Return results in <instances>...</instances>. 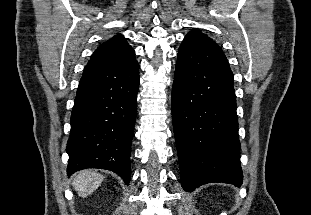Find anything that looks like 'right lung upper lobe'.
Returning a JSON list of instances; mask_svg holds the SVG:
<instances>
[{
  "instance_id": "right-lung-upper-lobe-1",
  "label": "right lung upper lobe",
  "mask_w": 311,
  "mask_h": 215,
  "mask_svg": "<svg viewBox=\"0 0 311 215\" xmlns=\"http://www.w3.org/2000/svg\"><path fill=\"white\" fill-rule=\"evenodd\" d=\"M134 61V50L123 35H116L95 50L87 65L127 66Z\"/></svg>"
}]
</instances>
